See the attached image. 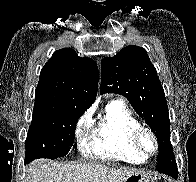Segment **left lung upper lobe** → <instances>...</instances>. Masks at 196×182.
<instances>
[{"mask_svg":"<svg viewBox=\"0 0 196 182\" xmlns=\"http://www.w3.org/2000/svg\"><path fill=\"white\" fill-rule=\"evenodd\" d=\"M105 93L125 96L156 135L158 150L173 154L164 90L145 49L130 45L114 57L102 59L100 94ZM158 157L157 171L177 177L175 157L170 163L160 162Z\"/></svg>","mask_w":196,"mask_h":182,"instance_id":"1","label":"left lung upper lobe"}]
</instances>
